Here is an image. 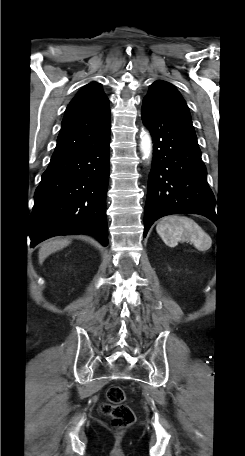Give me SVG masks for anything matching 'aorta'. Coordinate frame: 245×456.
Instances as JSON below:
<instances>
[{"instance_id":"1","label":"aorta","mask_w":245,"mask_h":456,"mask_svg":"<svg viewBox=\"0 0 245 456\" xmlns=\"http://www.w3.org/2000/svg\"><path fill=\"white\" fill-rule=\"evenodd\" d=\"M140 149L143 154V159H147L152 149L151 137L147 131L142 130L141 132Z\"/></svg>"}]
</instances>
